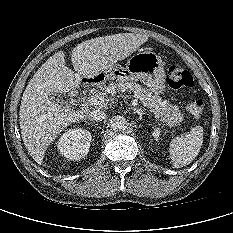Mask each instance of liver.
Segmentation results:
<instances>
[{
  "mask_svg": "<svg viewBox=\"0 0 233 233\" xmlns=\"http://www.w3.org/2000/svg\"><path fill=\"white\" fill-rule=\"evenodd\" d=\"M147 40L145 35L119 33L84 41L71 52V62L77 73L66 66L63 51L56 52L42 64L23 93L19 111L21 136L36 163H43L46 149L65 128L87 114L62 107L52 101L50 95L75 90L82 79H94Z\"/></svg>",
  "mask_w": 233,
  "mask_h": 233,
  "instance_id": "1",
  "label": "liver"
}]
</instances>
